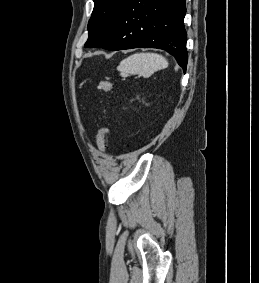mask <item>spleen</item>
<instances>
[{
    "mask_svg": "<svg viewBox=\"0 0 259 283\" xmlns=\"http://www.w3.org/2000/svg\"><path fill=\"white\" fill-rule=\"evenodd\" d=\"M168 67V62L157 53H136L122 60L118 71L122 76L139 74L150 77L154 72Z\"/></svg>",
    "mask_w": 259,
    "mask_h": 283,
    "instance_id": "obj_1",
    "label": "spleen"
}]
</instances>
